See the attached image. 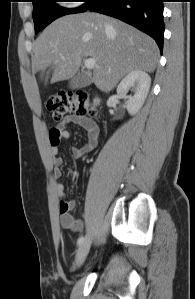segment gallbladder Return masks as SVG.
<instances>
[{"label":"gallbladder","mask_w":195,"mask_h":299,"mask_svg":"<svg viewBox=\"0 0 195 299\" xmlns=\"http://www.w3.org/2000/svg\"><path fill=\"white\" fill-rule=\"evenodd\" d=\"M90 83H91L90 77H88L86 74L78 73L70 79L69 86L72 89H78V88L85 87Z\"/></svg>","instance_id":"1"}]
</instances>
